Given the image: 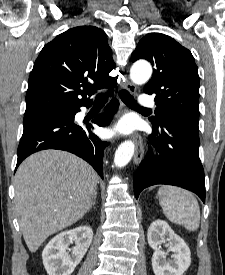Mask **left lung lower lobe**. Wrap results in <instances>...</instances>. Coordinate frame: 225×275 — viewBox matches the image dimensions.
I'll return each instance as SVG.
<instances>
[{
    "instance_id": "1",
    "label": "left lung lower lobe",
    "mask_w": 225,
    "mask_h": 275,
    "mask_svg": "<svg viewBox=\"0 0 225 275\" xmlns=\"http://www.w3.org/2000/svg\"><path fill=\"white\" fill-rule=\"evenodd\" d=\"M149 148L133 179L135 197L155 184L175 185L196 193L205 203L204 170L199 158V129L172 120L154 127Z\"/></svg>"
}]
</instances>
